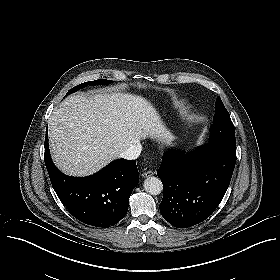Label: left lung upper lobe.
I'll return each mask as SVG.
<instances>
[{
    "mask_svg": "<svg viewBox=\"0 0 280 280\" xmlns=\"http://www.w3.org/2000/svg\"><path fill=\"white\" fill-rule=\"evenodd\" d=\"M210 142L236 146L234 126L220 97L215 104V114L210 127Z\"/></svg>",
    "mask_w": 280,
    "mask_h": 280,
    "instance_id": "5c2ea615",
    "label": "left lung upper lobe"
}]
</instances>
